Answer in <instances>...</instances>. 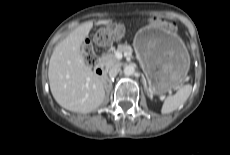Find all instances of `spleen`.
Returning a JSON list of instances; mask_svg holds the SVG:
<instances>
[{
  "label": "spleen",
  "instance_id": "3e777b00",
  "mask_svg": "<svg viewBox=\"0 0 230 155\" xmlns=\"http://www.w3.org/2000/svg\"><path fill=\"white\" fill-rule=\"evenodd\" d=\"M192 91V86L190 84H187L180 88L176 94L172 96H168L162 105L161 113L162 114H169L176 109H178L180 106H182L187 99L189 98Z\"/></svg>",
  "mask_w": 230,
  "mask_h": 155
}]
</instances>
